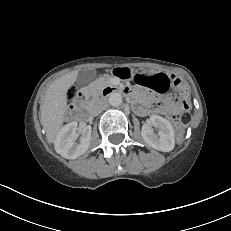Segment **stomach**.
I'll list each match as a JSON object with an SVG mask.
<instances>
[{"instance_id":"stomach-1","label":"stomach","mask_w":231,"mask_h":231,"mask_svg":"<svg viewBox=\"0 0 231 231\" xmlns=\"http://www.w3.org/2000/svg\"><path fill=\"white\" fill-rule=\"evenodd\" d=\"M114 74L118 75L122 79L133 77L134 71L128 67H117L114 69Z\"/></svg>"}]
</instances>
